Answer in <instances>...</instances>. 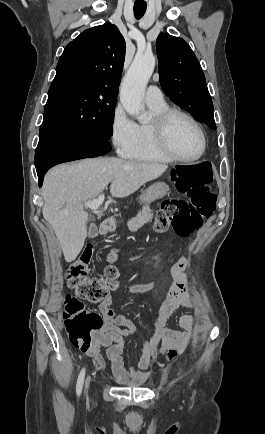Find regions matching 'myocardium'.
<instances>
[{"instance_id":"f54148a6","label":"myocardium","mask_w":265,"mask_h":434,"mask_svg":"<svg viewBox=\"0 0 265 434\" xmlns=\"http://www.w3.org/2000/svg\"><path fill=\"white\" fill-rule=\"evenodd\" d=\"M176 117H182L186 120H188L197 130L201 142H202V148L199 154L193 158H183L177 154L175 149L173 148L171 141H170V134H171V124L173 120ZM156 129L158 134V142L160 145V148L164 151V153L170 157L173 161L184 163V164H193L198 161H200L204 155L206 154L208 142L205 135V132L200 125V123L189 113L178 109V108H167L158 118L156 121Z\"/></svg>"}]
</instances>
